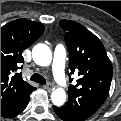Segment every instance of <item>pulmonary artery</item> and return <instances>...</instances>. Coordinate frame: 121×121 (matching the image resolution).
Returning a JSON list of instances; mask_svg holds the SVG:
<instances>
[{
  "instance_id": "pulmonary-artery-1",
  "label": "pulmonary artery",
  "mask_w": 121,
  "mask_h": 121,
  "mask_svg": "<svg viewBox=\"0 0 121 121\" xmlns=\"http://www.w3.org/2000/svg\"><path fill=\"white\" fill-rule=\"evenodd\" d=\"M65 63L66 53L62 45H58L54 51V58L52 63V70L55 80L61 85L65 86Z\"/></svg>"
}]
</instances>
